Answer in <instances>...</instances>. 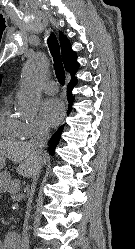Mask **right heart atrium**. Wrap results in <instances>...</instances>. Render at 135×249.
Masks as SVG:
<instances>
[{"mask_svg":"<svg viewBox=\"0 0 135 249\" xmlns=\"http://www.w3.org/2000/svg\"><path fill=\"white\" fill-rule=\"evenodd\" d=\"M23 137L32 138L47 133L46 126L40 121L23 122Z\"/></svg>","mask_w":135,"mask_h":249,"instance_id":"1","label":"right heart atrium"}]
</instances>
